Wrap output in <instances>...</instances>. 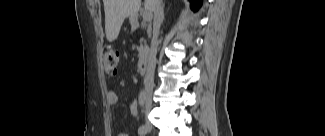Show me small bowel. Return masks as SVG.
Listing matches in <instances>:
<instances>
[{"instance_id": "1", "label": "small bowel", "mask_w": 325, "mask_h": 136, "mask_svg": "<svg viewBox=\"0 0 325 136\" xmlns=\"http://www.w3.org/2000/svg\"><path fill=\"white\" fill-rule=\"evenodd\" d=\"M106 101L109 105L116 104L118 102V94L114 90H108L106 93ZM126 107L129 112L134 115H139V106L135 99H130L126 101ZM120 136H126L125 134H120Z\"/></svg>"}]
</instances>
